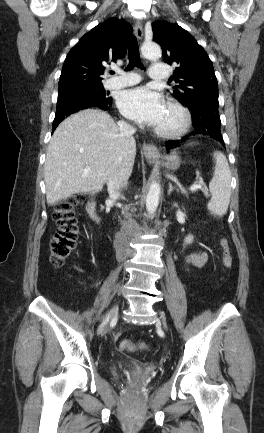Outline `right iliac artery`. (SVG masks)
<instances>
[{"instance_id":"1","label":"right iliac artery","mask_w":264,"mask_h":433,"mask_svg":"<svg viewBox=\"0 0 264 433\" xmlns=\"http://www.w3.org/2000/svg\"><path fill=\"white\" fill-rule=\"evenodd\" d=\"M108 321V317L106 318V320L100 325V328Z\"/></svg>"}]
</instances>
